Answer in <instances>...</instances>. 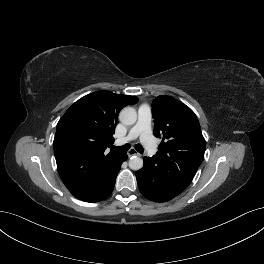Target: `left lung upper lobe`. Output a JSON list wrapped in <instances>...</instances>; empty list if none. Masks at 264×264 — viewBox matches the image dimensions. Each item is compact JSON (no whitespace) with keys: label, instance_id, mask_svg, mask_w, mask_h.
Returning a JSON list of instances; mask_svg holds the SVG:
<instances>
[{"label":"left lung upper lobe","instance_id":"left-lung-upper-lobe-1","mask_svg":"<svg viewBox=\"0 0 264 264\" xmlns=\"http://www.w3.org/2000/svg\"><path fill=\"white\" fill-rule=\"evenodd\" d=\"M154 135L162 137L155 154L167 168H177L194 176L204 159L205 139L195 113L169 96L152 103Z\"/></svg>","mask_w":264,"mask_h":264}]
</instances>
